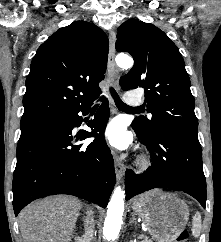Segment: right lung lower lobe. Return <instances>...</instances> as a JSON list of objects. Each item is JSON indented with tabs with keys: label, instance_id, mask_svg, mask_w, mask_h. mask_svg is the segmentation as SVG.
I'll return each instance as SVG.
<instances>
[{
	"label": "right lung lower lobe",
	"instance_id": "obj_1",
	"mask_svg": "<svg viewBox=\"0 0 221 242\" xmlns=\"http://www.w3.org/2000/svg\"><path fill=\"white\" fill-rule=\"evenodd\" d=\"M88 126L92 132L72 135L91 102L64 113L21 124L17 164L13 175L15 215L31 201L55 194L74 195L105 208L115 184L114 162L103 136L109 117L108 101ZM96 132H100L97 134ZM96 136L88 146L78 140Z\"/></svg>",
	"mask_w": 221,
	"mask_h": 242
}]
</instances>
